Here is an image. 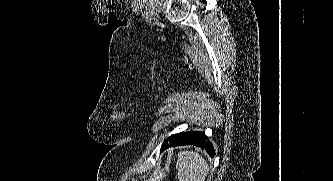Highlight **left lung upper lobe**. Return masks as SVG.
Returning a JSON list of instances; mask_svg holds the SVG:
<instances>
[{
	"label": "left lung upper lobe",
	"mask_w": 333,
	"mask_h": 181,
	"mask_svg": "<svg viewBox=\"0 0 333 181\" xmlns=\"http://www.w3.org/2000/svg\"><path fill=\"white\" fill-rule=\"evenodd\" d=\"M181 134V133H180ZM180 134H174V135H172V136H170L169 138H168V140H165V142H170V141H172L173 139H175L177 136H179Z\"/></svg>",
	"instance_id": "1"
}]
</instances>
